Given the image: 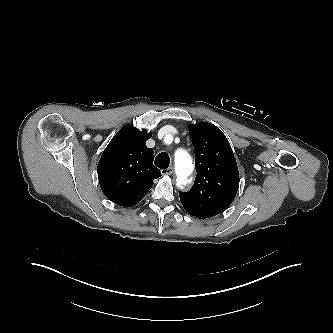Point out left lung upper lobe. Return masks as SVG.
<instances>
[{"mask_svg": "<svg viewBox=\"0 0 333 333\" xmlns=\"http://www.w3.org/2000/svg\"><path fill=\"white\" fill-rule=\"evenodd\" d=\"M195 148L196 179L188 192H179L186 211L209 216L223 212L234 200L239 172L231 146L223 132L213 124L189 125Z\"/></svg>", "mask_w": 333, "mask_h": 333, "instance_id": "1", "label": "left lung upper lobe"}]
</instances>
